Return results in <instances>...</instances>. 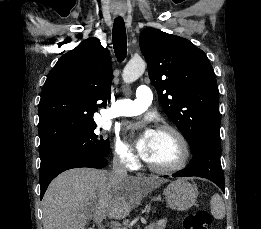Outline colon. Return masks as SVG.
<instances>
[{
	"mask_svg": "<svg viewBox=\"0 0 261 229\" xmlns=\"http://www.w3.org/2000/svg\"><path fill=\"white\" fill-rule=\"evenodd\" d=\"M184 229H210L212 218L210 212L205 209L189 213L184 219Z\"/></svg>",
	"mask_w": 261,
	"mask_h": 229,
	"instance_id": "obj_1",
	"label": "colon"
}]
</instances>
